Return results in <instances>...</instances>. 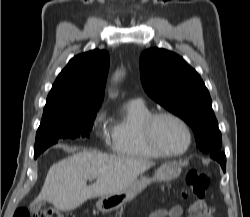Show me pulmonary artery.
<instances>
[{
  "mask_svg": "<svg viewBox=\"0 0 250 217\" xmlns=\"http://www.w3.org/2000/svg\"><path fill=\"white\" fill-rule=\"evenodd\" d=\"M134 101H140V99L136 98V99H133Z\"/></svg>",
  "mask_w": 250,
  "mask_h": 217,
  "instance_id": "obj_1",
  "label": "pulmonary artery"
}]
</instances>
